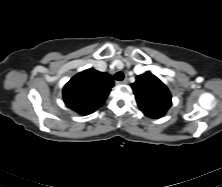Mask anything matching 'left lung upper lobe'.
Returning a JSON list of instances; mask_svg holds the SVG:
<instances>
[{
	"label": "left lung upper lobe",
	"mask_w": 222,
	"mask_h": 187,
	"mask_svg": "<svg viewBox=\"0 0 222 187\" xmlns=\"http://www.w3.org/2000/svg\"><path fill=\"white\" fill-rule=\"evenodd\" d=\"M132 89L139 108L150 118L164 116L172 105L168 88L150 72L138 75Z\"/></svg>",
	"instance_id": "obj_1"
}]
</instances>
